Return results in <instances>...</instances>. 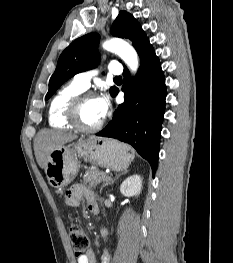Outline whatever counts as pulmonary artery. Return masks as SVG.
I'll use <instances>...</instances> for the list:
<instances>
[{"instance_id":"e3ab8cb5","label":"pulmonary artery","mask_w":233,"mask_h":263,"mask_svg":"<svg viewBox=\"0 0 233 263\" xmlns=\"http://www.w3.org/2000/svg\"><path fill=\"white\" fill-rule=\"evenodd\" d=\"M109 72L113 75L119 76L122 73V67L120 63L116 60H113L109 63L108 66ZM97 71L90 70L80 72L74 77V82L83 89H87L90 86L91 79L96 75Z\"/></svg>"}]
</instances>
